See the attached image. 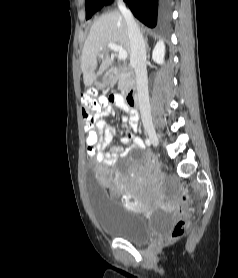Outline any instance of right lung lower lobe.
<instances>
[{
  "mask_svg": "<svg viewBox=\"0 0 238 278\" xmlns=\"http://www.w3.org/2000/svg\"><path fill=\"white\" fill-rule=\"evenodd\" d=\"M168 1L169 0H124L134 16L150 28L156 26L157 12L162 16Z\"/></svg>",
  "mask_w": 238,
  "mask_h": 278,
  "instance_id": "1",
  "label": "right lung lower lobe"
}]
</instances>
